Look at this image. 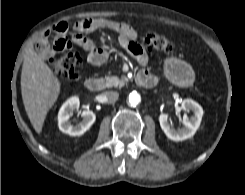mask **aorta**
Segmentation results:
<instances>
[{
    "mask_svg": "<svg viewBox=\"0 0 245 195\" xmlns=\"http://www.w3.org/2000/svg\"><path fill=\"white\" fill-rule=\"evenodd\" d=\"M140 95L139 93H137L136 91H133L129 94V99H128V103L131 106H136L140 103Z\"/></svg>",
    "mask_w": 245,
    "mask_h": 195,
    "instance_id": "aorta-1",
    "label": "aorta"
}]
</instances>
